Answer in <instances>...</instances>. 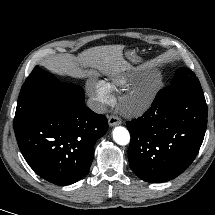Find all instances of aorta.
Segmentation results:
<instances>
[{
    "instance_id": "obj_1",
    "label": "aorta",
    "mask_w": 215,
    "mask_h": 215,
    "mask_svg": "<svg viewBox=\"0 0 215 215\" xmlns=\"http://www.w3.org/2000/svg\"><path fill=\"white\" fill-rule=\"evenodd\" d=\"M113 139L119 145H127L130 141V134L126 128L118 126L113 130Z\"/></svg>"
}]
</instances>
